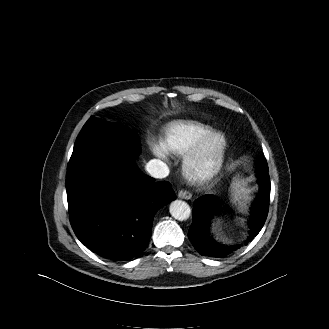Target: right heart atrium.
Returning a JSON list of instances; mask_svg holds the SVG:
<instances>
[{
  "label": "right heart atrium",
  "instance_id": "d8ad5b80",
  "mask_svg": "<svg viewBox=\"0 0 329 329\" xmlns=\"http://www.w3.org/2000/svg\"><path fill=\"white\" fill-rule=\"evenodd\" d=\"M153 152L156 156H158L160 158H163V159L167 158L166 151L161 146H158V145L154 146Z\"/></svg>",
  "mask_w": 329,
  "mask_h": 329
}]
</instances>
